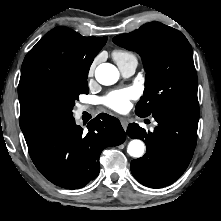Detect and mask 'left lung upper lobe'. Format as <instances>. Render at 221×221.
Returning a JSON list of instances; mask_svg holds the SVG:
<instances>
[{"label":"left lung upper lobe","instance_id":"1","mask_svg":"<svg viewBox=\"0 0 221 221\" xmlns=\"http://www.w3.org/2000/svg\"><path fill=\"white\" fill-rule=\"evenodd\" d=\"M113 42L136 51L143 60L146 81L144 95L136 105L138 116L163 110L199 118L193 51L180 31L152 22L114 37Z\"/></svg>","mask_w":221,"mask_h":221}]
</instances>
